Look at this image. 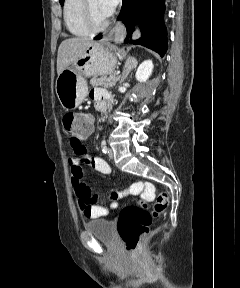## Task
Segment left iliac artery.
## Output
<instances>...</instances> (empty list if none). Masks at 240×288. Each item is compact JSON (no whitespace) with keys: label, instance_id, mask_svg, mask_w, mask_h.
Listing matches in <instances>:
<instances>
[{"label":"left iliac artery","instance_id":"44dca946","mask_svg":"<svg viewBox=\"0 0 240 288\" xmlns=\"http://www.w3.org/2000/svg\"><path fill=\"white\" fill-rule=\"evenodd\" d=\"M102 151H103V153H109V149H108V147L106 146V144H105V142L103 143V146H102Z\"/></svg>","mask_w":240,"mask_h":288}]
</instances>
